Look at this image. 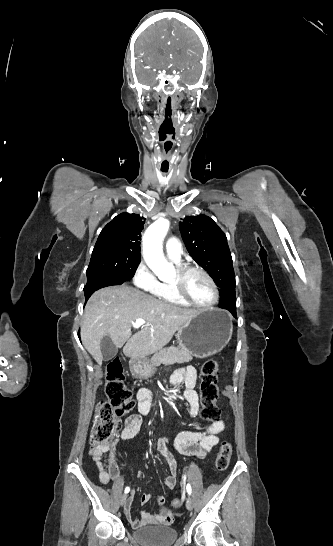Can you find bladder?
<instances>
[{"mask_svg": "<svg viewBox=\"0 0 333 546\" xmlns=\"http://www.w3.org/2000/svg\"><path fill=\"white\" fill-rule=\"evenodd\" d=\"M133 536L142 546H170L176 541L178 532L171 526L147 525L135 529Z\"/></svg>", "mask_w": 333, "mask_h": 546, "instance_id": "obj_1", "label": "bladder"}]
</instances>
